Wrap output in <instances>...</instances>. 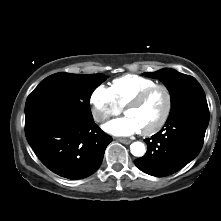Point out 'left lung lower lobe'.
I'll return each instance as SVG.
<instances>
[{"label":"left lung lower lobe","instance_id":"1","mask_svg":"<svg viewBox=\"0 0 221 221\" xmlns=\"http://www.w3.org/2000/svg\"><path fill=\"white\" fill-rule=\"evenodd\" d=\"M208 123L206 98L182 105L170 113L160 132L144 140L147 152L135 160L136 166L156 177L177 172L200 152Z\"/></svg>","mask_w":221,"mask_h":221}]
</instances>
